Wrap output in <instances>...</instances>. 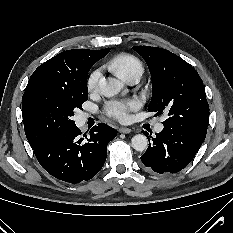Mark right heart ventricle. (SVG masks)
<instances>
[{
  "label": "right heart ventricle",
  "instance_id": "obj_1",
  "mask_svg": "<svg viewBox=\"0 0 233 233\" xmlns=\"http://www.w3.org/2000/svg\"><path fill=\"white\" fill-rule=\"evenodd\" d=\"M108 68L123 80L134 72L143 71L141 62L135 56L126 53L113 57L108 63Z\"/></svg>",
  "mask_w": 233,
  "mask_h": 233
}]
</instances>
